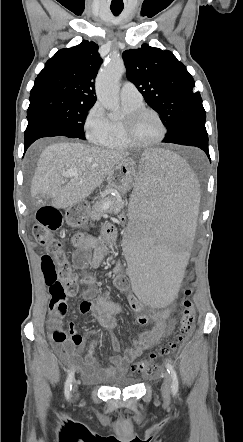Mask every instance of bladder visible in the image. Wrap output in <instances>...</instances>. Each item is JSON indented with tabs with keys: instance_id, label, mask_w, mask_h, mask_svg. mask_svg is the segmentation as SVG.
I'll return each mask as SVG.
<instances>
[{
	"instance_id": "bladder-1",
	"label": "bladder",
	"mask_w": 243,
	"mask_h": 442,
	"mask_svg": "<svg viewBox=\"0 0 243 442\" xmlns=\"http://www.w3.org/2000/svg\"><path fill=\"white\" fill-rule=\"evenodd\" d=\"M137 383V380L129 375L123 374L118 377L110 378L103 384L105 388H128Z\"/></svg>"
}]
</instances>
